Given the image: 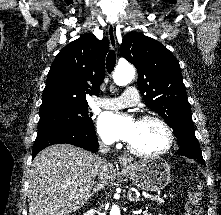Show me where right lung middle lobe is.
Returning a JSON list of instances; mask_svg holds the SVG:
<instances>
[{
    "instance_id": "right-lung-middle-lobe-1",
    "label": "right lung middle lobe",
    "mask_w": 221,
    "mask_h": 215,
    "mask_svg": "<svg viewBox=\"0 0 221 215\" xmlns=\"http://www.w3.org/2000/svg\"><path fill=\"white\" fill-rule=\"evenodd\" d=\"M91 116L92 114L88 113V106L40 115L38 133L64 127H87L92 125Z\"/></svg>"
}]
</instances>
